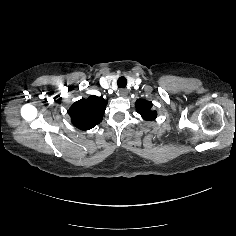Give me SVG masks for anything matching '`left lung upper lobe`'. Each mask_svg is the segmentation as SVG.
<instances>
[{
	"label": "left lung upper lobe",
	"mask_w": 236,
	"mask_h": 236,
	"mask_svg": "<svg viewBox=\"0 0 236 236\" xmlns=\"http://www.w3.org/2000/svg\"><path fill=\"white\" fill-rule=\"evenodd\" d=\"M153 104L144 99L136 101V111L141 115L144 120L151 121L157 117V112L152 110Z\"/></svg>",
	"instance_id": "obj_1"
}]
</instances>
